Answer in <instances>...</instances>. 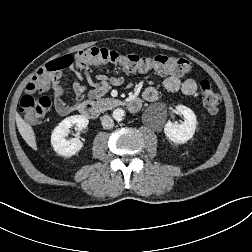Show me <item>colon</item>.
<instances>
[{"mask_svg": "<svg viewBox=\"0 0 252 252\" xmlns=\"http://www.w3.org/2000/svg\"><path fill=\"white\" fill-rule=\"evenodd\" d=\"M114 64L128 72L155 70L159 73H171L179 76L188 75L192 66L184 58L157 55L142 57L136 54H122L116 50L92 47L81 50L74 56L65 55L48 62L28 84L26 94L21 98L19 111L31 123L39 121L51 108L48 96L35 97L36 93L45 92L57 81L63 70L68 68L87 69L91 66ZM202 103L210 115L219 111L221 98L207 80L200 82Z\"/></svg>", "mask_w": 252, "mask_h": 252, "instance_id": "1", "label": "colon"}]
</instances>
